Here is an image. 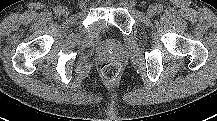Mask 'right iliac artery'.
<instances>
[{
    "mask_svg": "<svg viewBox=\"0 0 217 121\" xmlns=\"http://www.w3.org/2000/svg\"><path fill=\"white\" fill-rule=\"evenodd\" d=\"M54 12H55V14H60L61 13V7L60 6L55 7Z\"/></svg>",
    "mask_w": 217,
    "mask_h": 121,
    "instance_id": "right-iliac-artery-1",
    "label": "right iliac artery"
}]
</instances>
